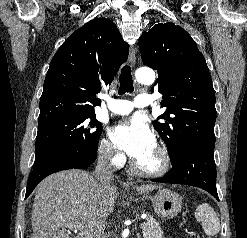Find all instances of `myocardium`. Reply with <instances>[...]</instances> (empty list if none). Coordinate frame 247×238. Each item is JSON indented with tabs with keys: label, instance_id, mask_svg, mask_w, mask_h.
Segmentation results:
<instances>
[{
	"label": "myocardium",
	"instance_id": "1",
	"mask_svg": "<svg viewBox=\"0 0 247 238\" xmlns=\"http://www.w3.org/2000/svg\"><path fill=\"white\" fill-rule=\"evenodd\" d=\"M155 150L158 154L159 157V165L155 169H145L141 167L136 161L132 163V169L135 173L138 175L144 176V177H150V178H156V177H161L170 168V156L167 151V149L160 145L156 144L155 145Z\"/></svg>",
	"mask_w": 247,
	"mask_h": 238
}]
</instances>
